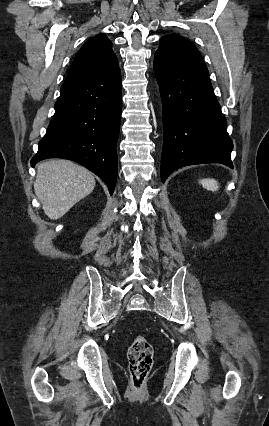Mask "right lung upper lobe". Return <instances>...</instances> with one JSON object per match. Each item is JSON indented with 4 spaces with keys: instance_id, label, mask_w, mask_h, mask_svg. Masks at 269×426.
Masks as SVG:
<instances>
[{
    "instance_id": "obj_1",
    "label": "right lung upper lobe",
    "mask_w": 269,
    "mask_h": 426,
    "mask_svg": "<svg viewBox=\"0 0 269 426\" xmlns=\"http://www.w3.org/2000/svg\"><path fill=\"white\" fill-rule=\"evenodd\" d=\"M119 68L111 41L98 34L77 52L65 82L101 77Z\"/></svg>"
}]
</instances>
